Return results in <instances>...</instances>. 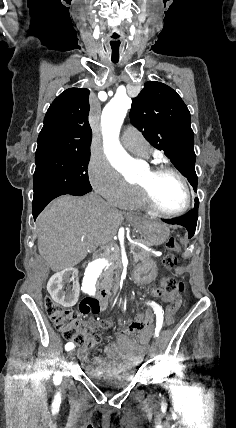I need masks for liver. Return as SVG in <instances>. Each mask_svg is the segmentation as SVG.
Instances as JSON below:
<instances>
[{"label": "liver", "mask_w": 236, "mask_h": 428, "mask_svg": "<svg viewBox=\"0 0 236 428\" xmlns=\"http://www.w3.org/2000/svg\"><path fill=\"white\" fill-rule=\"evenodd\" d=\"M123 220L97 194L60 196L37 218L38 252L54 272L72 268L98 246L112 248Z\"/></svg>", "instance_id": "6515ba94"}]
</instances>
